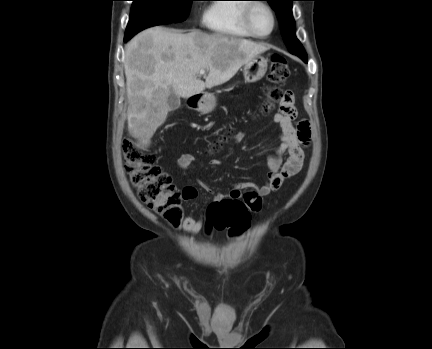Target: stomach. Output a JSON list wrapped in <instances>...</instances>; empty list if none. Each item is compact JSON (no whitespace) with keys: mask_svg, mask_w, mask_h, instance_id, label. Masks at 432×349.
Wrapping results in <instances>:
<instances>
[{"mask_svg":"<svg viewBox=\"0 0 432 349\" xmlns=\"http://www.w3.org/2000/svg\"><path fill=\"white\" fill-rule=\"evenodd\" d=\"M268 67V60L262 56H256L248 63L245 64L243 69V75L245 82L254 83L262 79L265 75ZM217 105V100L212 93H203L198 102L197 110L203 114L212 112Z\"/></svg>","mask_w":432,"mask_h":349,"instance_id":"1","label":"stomach"}]
</instances>
